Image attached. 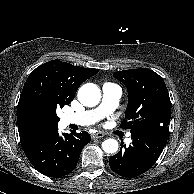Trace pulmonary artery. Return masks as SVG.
<instances>
[{"mask_svg":"<svg viewBox=\"0 0 194 194\" xmlns=\"http://www.w3.org/2000/svg\"><path fill=\"white\" fill-rule=\"evenodd\" d=\"M120 97L121 90L117 85L105 83L102 87V101L98 107L91 110L66 114L63 118L64 122L65 124L81 126L92 125L112 113L118 106ZM125 141L130 143V137H127Z\"/></svg>","mask_w":194,"mask_h":194,"instance_id":"e3ab8cb5","label":"pulmonary artery"}]
</instances>
